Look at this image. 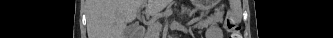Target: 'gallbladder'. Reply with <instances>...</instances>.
<instances>
[{"label":"gallbladder","mask_w":333,"mask_h":38,"mask_svg":"<svg viewBox=\"0 0 333 38\" xmlns=\"http://www.w3.org/2000/svg\"><path fill=\"white\" fill-rule=\"evenodd\" d=\"M124 38H132L134 36V28L133 26H128L124 31Z\"/></svg>","instance_id":"obj_1"}]
</instances>
